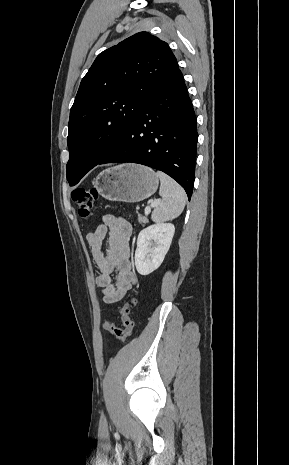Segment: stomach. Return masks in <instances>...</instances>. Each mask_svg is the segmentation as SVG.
<instances>
[{"label":"stomach","mask_w":289,"mask_h":465,"mask_svg":"<svg viewBox=\"0 0 289 465\" xmlns=\"http://www.w3.org/2000/svg\"><path fill=\"white\" fill-rule=\"evenodd\" d=\"M93 184L107 200L136 203L153 195L159 180L151 168L126 163L103 170Z\"/></svg>","instance_id":"obj_1"}]
</instances>
